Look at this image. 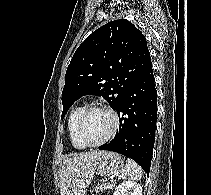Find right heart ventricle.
Here are the masks:
<instances>
[{"label":"right heart ventricle","mask_w":211,"mask_h":195,"mask_svg":"<svg viewBox=\"0 0 211 195\" xmlns=\"http://www.w3.org/2000/svg\"><path fill=\"white\" fill-rule=\"evenodd\" d=\"M86 105L82 104L79 106L74 107L68 116V121H67V127H68V132H69V137L71 144L74 148L76 149H84L86 148L78 139L77 133H76V126H77V121L81 113L86 109Z\"/></svg>","instance_id":"1"}]
</instances>
